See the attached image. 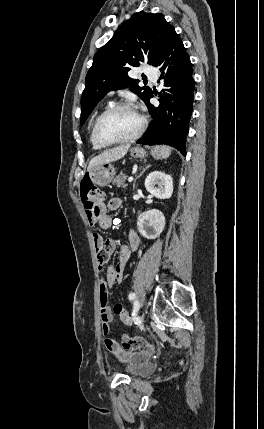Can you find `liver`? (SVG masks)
I'll use <instances>...</instances> for the list:
<instances>
[{"label":"liver","mask_w":264,"mask_h":429,"mask_svg":"<svg viewBox=\"0 0 264 429\" xmlns=\"http://www.w3.org/2000/svg\"><path fill=\"white\" fill-rule=\"evenodd\" d=\"M129 148H130V145L127 144V145H121V146H118V147H115V148H112L110 150L102 152L101 154L94 157L89 162L87 170L90 171L95 166H98V165H101L104 163L117 161V160L123 158L127 154Z\"/></svg>","instance_id":"liver-1"}]
</instances>
